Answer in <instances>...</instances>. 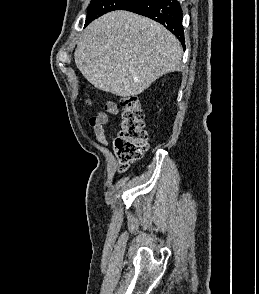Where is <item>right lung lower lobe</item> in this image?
I'll list each match as a JSON object with an SVG mask.
<instances>
[{
    "instance_id": "1",
    "label": "right lung lower lobe",
    "mask_w": 259,
    "mask_h": 294,
    "mask_svg": "<svg viewBox=\"0 0 259 294\" xmlns=\"http://www.w3.org/2000/svg\"><path fill=\"white\" fill-rule=\"evenodd\" d=\"M120 10L135 12L159 22L184 43L182 9L177 0H135Z\"/></svg>"
}]
</instances>
